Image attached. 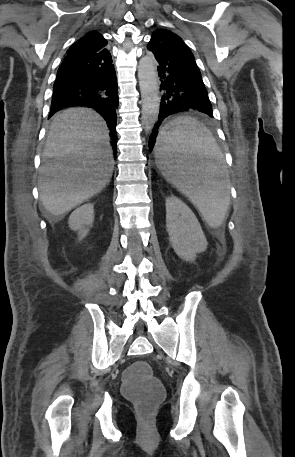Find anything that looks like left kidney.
Instances as JSON below:
<instances>
[{
    "instance_id": "obj_1",
    "label": "left kidney",
    "mask_w": 295,
    "mask_h": 457,
    "mask_svg": "<svg viewBox=\"0 0 295 457\" xmlns=\"http://www.w3.org/2000/svg\"><path fill=\"white\" fill-rule=\"evenodd\" d=\"M166 227L176 254L185 261H193L204 252L207 241L191 209L177 197L166 199Z\"/></svg>"
}]
</instances>
